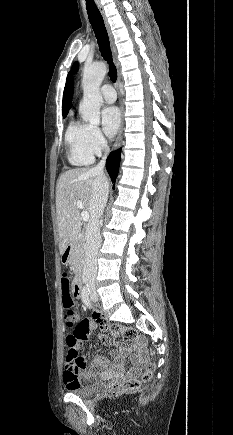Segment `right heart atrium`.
I'll return each mask as SVG.
<instances>
[{
    "instance_id": "obj_1",
    "label": "right heart atrium",
    "mask_w": 233,
    "mask_h": 435,
    "mask_svg": "<svg viewBox=\"0 0 233 435\" xmlns=\"http://www.w3.org/2000/svg\"><path fill=\"white\" fill-rule=\"evenodd\" d=\"M107 142L99 127L89 125L88 147L92 154L100 155L106 149Z\"/></svg>"
}]
</instances>
